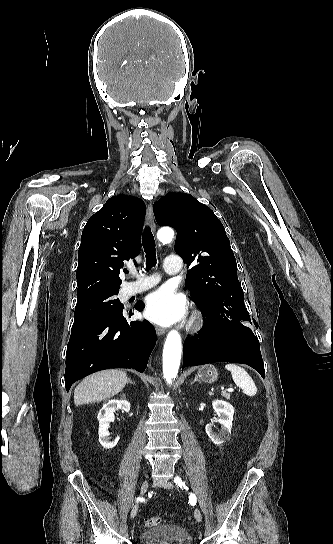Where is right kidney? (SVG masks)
Instances as JSON below:
<instances>
[{"mask_svg":"<svg viewBox=\"0 0 333 544\" xmlns=\"http://www.w3.org/2000/svg\"><path fill=\"white\" fill-rule=\"evenodd\" d=\"M130 403L127 400H109L103 404L102 409L98 413L99 421V442L105 449H110L116 446L119 441V437H116L113 441L109 438V424L114 421V413L118 409H122L126 412L130 411Z\"/></svg>","mask_w":333,"mask_h":544,"instance_id":"right-kidney-1","label":"right kidney"}]
</instances>
